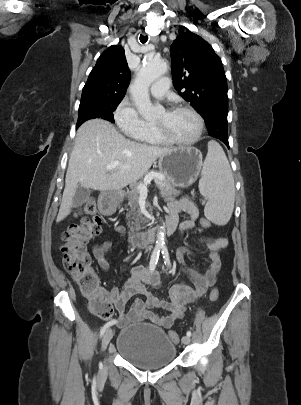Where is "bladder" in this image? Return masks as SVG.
I'll return each instance as SVG.
<instances>
[{"mask_svg": "<svg viewBox=\"0 0 301 405\" xmlns=\"http://www.w3.org/2000/svg\"><path fill=\"white\" fill-rule=\"evenodd\" d=\"M116 351L131 364L146 370L165 367L176 357V346L166 332L143 322L120 331Z\"/></svg>", "mask_w": 301, "mask_h": 405, "instance_id": "31cf9c89", "label": "bladder"}]
</instances>
